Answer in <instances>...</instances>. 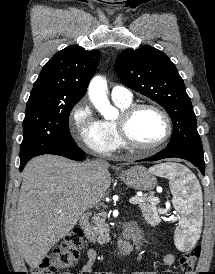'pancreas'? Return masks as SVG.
<instances>
[{"label": "pancreas", "instance_id": "cf45deb5", "mask_svg": "<svg viewBox=\"0 0 215 274\" xmlns=\"http://www.w3.org/2000/svg\"><path fill=\"white\" fill-rule=\"evenodd\" d=\"M146 200L139 203V207L143 214V217L150 223V224H157L159 219L156 215L157 207L156 205L159 203V199L155 198L152 194H147L143 196ZM106 214L99 213L93 217L91 224L88 226L87 231V238L93 242L98 244H106L109 242V234H108V226L105 222Z\"/></svg>", "mask_w": 215, "mask_h": 274}]
</instances>
